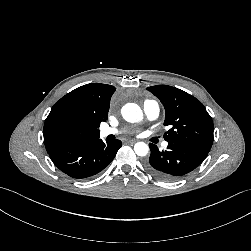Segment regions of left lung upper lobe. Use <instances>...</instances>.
<instances>
[{"label": "left lung upper lobe", "instance_id": "obj_1", "mask_svg": "<svg viewBox=\"0 0 251 251\" xmlns=\"http://www.w3.org/2000/svg\"><path fill=\"white\" fill-rule=\"evenodd\" d=\"M163 104L165 126L171 129L164 134L168 143H183L210 151L213 143V121L204 105L183 90L168 85L147 88Z\"/></svg>", "mask_w": 251, "mask_h": 251}]
</instances>
